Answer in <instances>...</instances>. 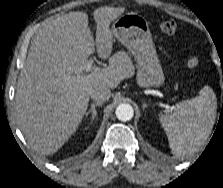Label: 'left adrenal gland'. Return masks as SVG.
Instances as JSON below:
<instances>
[{
  "mask_svg": "<svg viewBox=\"0 0 223 188\" xmlns=\"http://www.w3.org/2000/svg\"><path fill=\"white\" fill-rule=\"evenodd\" d=\"M145 107H147V104L144 103V104H143V108H145Z\"/></svg>",
  "mask_w": 223,
  "mask_h": 188,
  "instance_id": "left-adrenal-gland-1",
  "label": "left adrenal gland"
}]
</instances>
